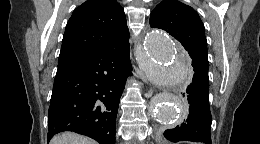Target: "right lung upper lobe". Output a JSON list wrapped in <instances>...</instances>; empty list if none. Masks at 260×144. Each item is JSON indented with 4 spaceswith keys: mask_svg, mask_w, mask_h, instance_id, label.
<instances>
[{
    "mask_svg": "<svg viewBox=\"0 0 260 144\" xmlns=\"http://www.w3.org/2000/svg\"><path fill=\"white\" fill-rule=\"evenodd\" d=\"M126 44L129 30L117 0H87L67 23L58 63Z\"/></svg>",
    "mask_w": 260,
    "mask_h": 144,
    "instance_id": "1",
    "label": "right lung upper lobe"
}]
</instances>
